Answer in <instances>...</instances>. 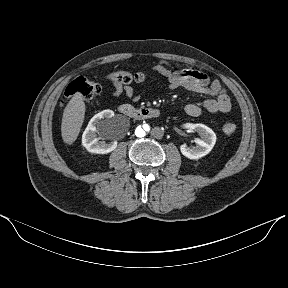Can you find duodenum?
Returning <instances> with one entry per match:
<instances>
[{
    "mask_svg": "<svg viewBox=\"0 0 288 288\" xmlns=\"http://www.w3.org/2000/svg\"><path fill=\"white\" fill-rule=\"evenodd\" d=\"M119 112L131 119L135 120H147L158 118L161 115V112L157 108L152 107H143V108H134L130 104H123L119 108Z\"/></svg>",
    "mask_w": 288,
    "mask_h": 288,
    "instance_id": "1",
    "label": "duodenum"
}]
</instances>
